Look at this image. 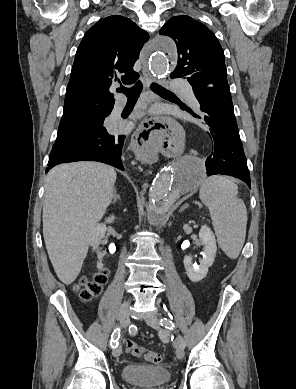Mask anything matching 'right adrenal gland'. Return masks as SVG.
Instances as JSON below:
<instances>
[{"label":"right adrenal gland","mask_w":296,"mask_h":389,"mask_svg":"<svg viewBox=\"0 0 296 389\" xmlns=\"http://www.w3.org/2000/svg\"><path fill=\"white\" fill-rule=\"evenodd\" d=\"M118 200H120V195L117 194L116 190L114 191L112 204H115Z\"/></svg>","instance_id":"2a0ac1e0"}]
</instances>
